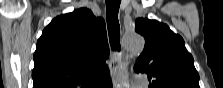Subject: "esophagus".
Masks as SVG:
<instances>
[{
  "mask_svg": "<svg viewBox=\"0 0 223 88\" xmlns=\"http://www.w3.org/2000/svg\"><path fill=\"white\" fill-rule=\"evenodd\" d=\"M121 65V55L119 53L113 52L110 56L109 69L114 86L117 85V78Z\"/></svg>",
  "mask_w": 223,
  "mask_h": 88,
  "instance_id": "34e87169",
  "label": "esophagus"
}]
</instances>
